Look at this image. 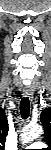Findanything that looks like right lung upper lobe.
Returning <instances> with one entry per match:
<instances>
[{
	"instance_id": "1",
	"label": "right lung upper lobe",
	"mask_w": 51,
	"mask_h": 150,
	"mask_svg": "<svg viewBox=\"0 0 51 150\" xmlns=\"http://www.w3.org/2000/svg\"><path fill=\"white\" fill-rule=\"evenodd\" d=\"M8 121L4 109L0 108V150L4 149L6 136L8 134Z\"/></svg>"
}]
</instances>
